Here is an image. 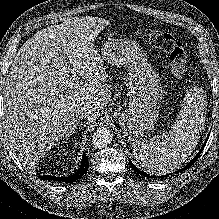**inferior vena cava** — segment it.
Wrapping results in <instances>:
<instances>
[{"label": "inferior vena cava", "instance_id": "obj_1", "mask_svg": "<svg viewBox=\"0 0 219 219\" xmlns=\"http://www.w3.org/2000/svg\"><path fill=\"white\" fill-rule=\"evenodd\" d=\"M91 114V111L86 107H80L76 109L75 117L76 119L88 118Z\"/></svg>", "mask_w": 219, "mask_h": 219}]
</instances>
